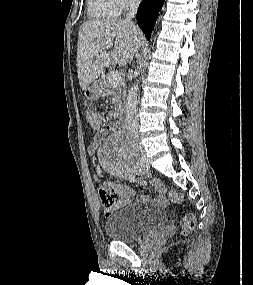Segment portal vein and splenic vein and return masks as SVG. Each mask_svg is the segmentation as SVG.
<instances>
[{"label":"portal vein and splenic vein","mask_w":253,"mask_h":285,"mask_svg":"<svg viewBox=\"0 0 253 285\" xmlns=\"http://www.w3.org/2000/svg\"><path fill=\"white\" fill-rule=\"evenodd\" d=\"M113 46V43H108L106 47L110 48ZM121 81V74L118 71L113 72L111 78L109 79V83L112 85H117Z\"/></svg>","instance_id":"18ae733b"}]
</instances>
